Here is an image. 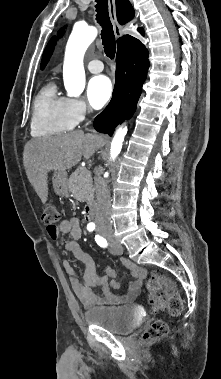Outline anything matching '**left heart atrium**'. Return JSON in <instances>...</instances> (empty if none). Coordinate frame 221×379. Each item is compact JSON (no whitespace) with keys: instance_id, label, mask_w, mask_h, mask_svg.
<instances>
[{"instance_id":"39dd6f15","label":"left heart atrium","mask_w":221,"mask_h":379,"mask_svg":"<svg viewBox=\"0 0 221 379\" xmlns=\"http://www.w3.org/2000/svg\"><path fill=\"white\" fill-rule=\"evenodd\" d=\"M112 94L113 85L108 77L95 76L89 81L87 98L93 108H102L111 99Z\"/></svg>"}]
</instances>
